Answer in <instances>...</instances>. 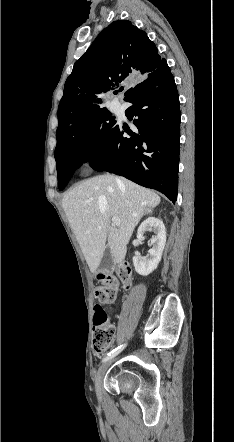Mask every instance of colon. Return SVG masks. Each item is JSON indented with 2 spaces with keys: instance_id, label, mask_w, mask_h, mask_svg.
Here are the masks:
<instances>
[{
  "instance_id": "colon-1",
  "label": "colon",
  "mask_w": 234,
  "mask_h": 442,
  "mask_svg": "<svg viewBox=\"0 0 234 442\" xmlns=\"http://www.w3.org/2000/svg\"><path fill=\"white\" fill-rule=\"evenodd\" d=\"M101 284L95 289V297L99 302L94 316L93 349L100 357L111 345L115 329L108 324V315L101 307L116 300L120 283L127 289L132 284V270L126 263L120 264L114 274H101Z\"/></svg>"
}]
</instances>
